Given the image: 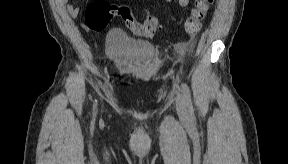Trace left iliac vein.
<instances>
[{
	"label": "left iliac vein",
	"mask_w": 288,
	"mask_h": 164,
	"mask_svg": "<svg viewBox=\"0 0 288 164\" xmlns=\"http://www.w3.org/2000/svg\"><path fill=\"white\" fill-rule=\"evenodd\" d=\"M176 109H177V113L181 119L188 120L189 113L187 110L184 96L181 93H178L177 97H176Z\"/></svg>",
	"instance_id": "4c4485c4"
}]
</instances>
